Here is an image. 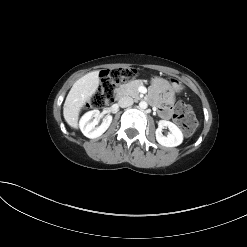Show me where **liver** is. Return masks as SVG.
<instances>
[{
    "label": "liver",
    "instance_id": "obj_1",
    "mask_svg": "<svg viewBox=\"0 0 247 247\" xmlns=\"http://www.w3.org/2000/svg\"><path fill=\"white\" fill-rule=\"evenodd\" d=\"M99 71L89 72L78 79L69 91L63 108V115L68 125L78 128L79 113L98 89Z\"/></svg>",
    "mask_w": 247,
    "mask_h": 247
}]
</instances>
